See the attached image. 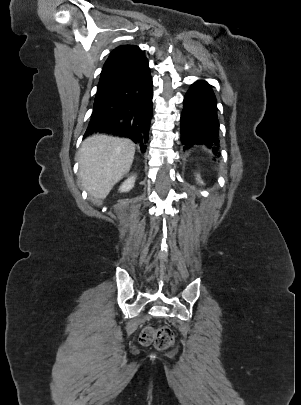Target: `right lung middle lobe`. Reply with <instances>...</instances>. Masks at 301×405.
Returning <instances> with one entry per match:
<instances>
[{
    "label": "right lung middle lobe",
    "instance_id": "obj_1",
    "mask_svg": "<svg viewBox=\"0 0 301 405\" xmlns=\"http://www.w3.org/2000/svg\"><path fill=\"white\" fill-rule=\"evenodd\" d=\"M100 96H96L95 100H97Z\"/></svg>",
    "mask_w": 301,
    "mask_h": 405
}]
</instances>
